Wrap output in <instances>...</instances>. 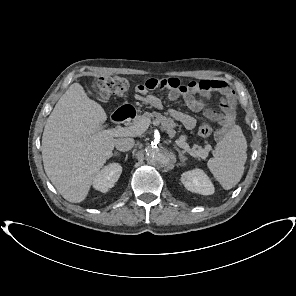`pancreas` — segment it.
I'll use <instances>...</instances> for the list:
<instances>
[{"label": "pancreas", "mask_w": 296, "mask_h": 296, "mask_svg": "<svg viewBox=\"0 0 296 296\" xmlns=\"http://www.w3.org/2000/svg\"><path fill=\"white\" fill-rule=\"evenodd\" d=\"M142 120H149L150 122L153 121L156 125H160L161 129L166 131L170 136L175 135V130L174 128L176 127V123L174 122L173 119L170 117H165L161 113L158 112H145L143 115L138 116L132 123H130L132 126L138 124ZM193 151H199L200 156L198 157H203L205 156L206 152H204L203 149L199 148L196 150V147L192 148Z\"/></svg>", "instance_id": "obj_1"}]
</instances>
